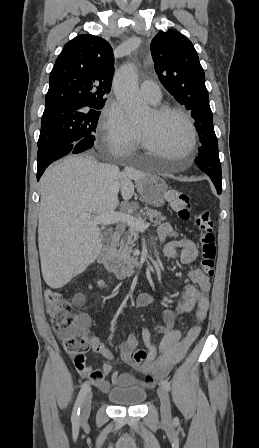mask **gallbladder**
<instances>
[{"label": "gallbladder", "instance_id": "bac80fb5", "mask_svg": "<svg viewBox=\"0 0 259 448\" xmlns=\"http://www.w3.org/2000/svg\"><path fill=\"white\" fill-rule=\"evenodd\" d=\"M112 240V232L111 230H106V232H103L102 234V244H110Z\"/></svg>", "mask_w": 259, "mask_h": 448}]
</instances>
